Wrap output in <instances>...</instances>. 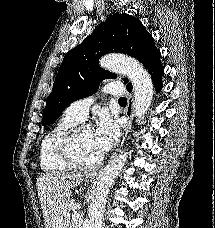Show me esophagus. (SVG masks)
Returning <instances> with one entry per match:
<instances>
[{
  "mask_svg": "<svg viewBox=\"0 0 215 228\" xmlns=\"http://www.w3.org/2000/svg\"><path fill=\"white\" fill-rule=\"evenodd\" d=\"M133 114H134V95H133V93H130L128 96V102H127L126 111H125V116L128 120V124H127V127L125 128V130H123V133L121 135L117 148H116L114 154L112 155V157L115 156L118 153V151L120 150V148L123 146V143L125 142L126 137L129 133V131L131 130ZM96 175H97L96 172L91 174V176H96Z\"/></svg>",
  "mask_w": 215,
  "mask_h": 228,
  "instance_id": "obj_1",
  "label": "esophagus"
}]
</instances>
